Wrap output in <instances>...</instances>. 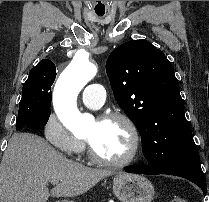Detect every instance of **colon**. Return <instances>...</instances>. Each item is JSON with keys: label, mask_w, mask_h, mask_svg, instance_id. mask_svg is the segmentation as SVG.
Segmentation results:
<instances>
[{"label": "colon", "mask_w": 209, "mask_h": 202, "mask_svg": "<svg viewBox=\"0 0 209 202\" xmlns=\"http://www.w3.org/2000/svg\"><path fill=\"white\" fill-rule=\"evenodd\" d=\"M169 202H190V201L185 198L176 197V198H173L172 200H170Z\"/></svg>", "instance_id": "obj_1"}]
</instances>
